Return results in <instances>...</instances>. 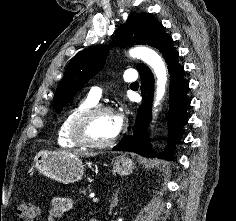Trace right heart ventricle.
<instances>
[{
  "instance_id": "e07e8e85",
  "label": "right heart ventricle",
  "mask_w": 236,
  "mask_h": 221,
  "mask_svg": "<svg viewBox=\"0 0 236 221\" xmlns=\"http://www.w3.org/2000/svg\"><path fill=\"white\" fill-rule=\"evenodd\" d=\"M94 105H96V101L88 96L80 100L64 115L57 129V144L61 148L75 149L80 147L71 138V127L74 120L80 113Z\"/></svg>"
}]
</instances>
